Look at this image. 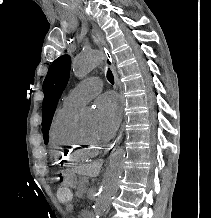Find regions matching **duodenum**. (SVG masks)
Returning a JSON list of instances; mask_svg holds the SVG:
<instances>
[{
    "mask_svg": "<svg viewBox=\"0 0 211 218\" xmlns=\"http://www.w3.org/2000/svg\"><path fill=\"white\" fill-rule=\"evenodd\" d=\"M81 217L82 218H92V213L91 211L84 209L81 211Z\"/></svg>",
    "mask_w": 211,
    "mask_h": 218,
    "instance_id": "410a0bca",
    "label": "duodenum"
}]
</instances>
